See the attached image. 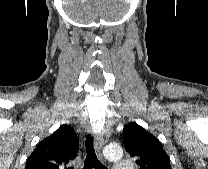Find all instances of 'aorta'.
Instances as JSON below:
<instances>
[{
    "instance_id": "762f6f07",
    "label": "aorta",
    "mask_w": 208,
    "mask_h": 169,
    "mask_svg": "<svg viewBox=\"0 0 208 169\" xmlns=\"http://www.w3.org/2000/svg\"><path fill=\"white\" fill-rule=\"evenodd\" d=\"M105 157L110 161L120 160L123 156V150L118 145L110 144L104 149Z\"/></svg>"
}]
</instances>
